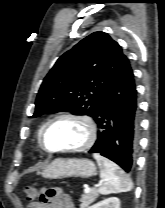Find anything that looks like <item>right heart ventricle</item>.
I'll list each match as a JSON object with an SVG mask.
<instances>
[{"label":"right heart ventricle","mask_w":165,"mask_h":208,"mask_svg":"<svg viewBox=\"0 0 165 208\" xmlns=\"http://www.w3.org/2000/svg\"><path fill=\"white\" fill-rule=\"evenodd\" d=\"M44 125H45V123L39 128L38 133H37V141H38L39 146H40V134H41V131H42Z\"/></svg>","instance_id":"right-heart-ventricle-1"}]
</instances>
